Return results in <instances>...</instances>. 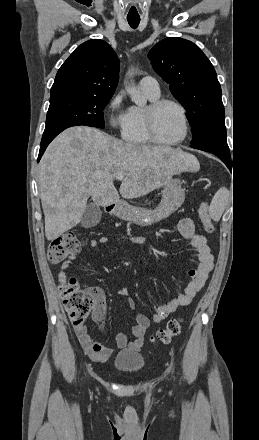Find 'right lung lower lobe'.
I'll list each match as a JSON object with an SVG mask.
<instances>
[{"mask_svg": "<svg viewBox=\"0 0 259 440\" xmlns=\"http://www.w3.org/2000/svg\"><path fill=\"white\" fill-rule=\"evenodd\" d=\"M72 126H77V125H67L61 128H58L56 130H53L51 132L48 133H43L42 136V140H41V144H40V151H39V155H38V162L41 159L45 149L47 148V146L49 145V143L63 130H65L66 128L72 127Z\"/></svg>", "mask_w": 259, "mask_h": 440, "instance_id": "1", "label": "right lung lower lobe"}]
</instances>
